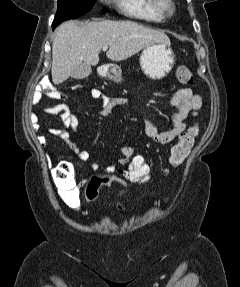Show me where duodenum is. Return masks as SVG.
Wrapping results in <instances>:
<instances>
[{"label":"duodenum","mask_w":240,"mask_h":287,"mask_svg":"<svg viewBox=\"0 0 240 287\" xmlns=\"http://www.w3.org/2000/svg\"><path fill=\"white\" fill-rule=\"evenodd\" d=\"M100 71L102 75H107L108 74V66L107 65H102L100 67Z\"/></svg>","instance_id":"duodenum-1"}]
</instances>
